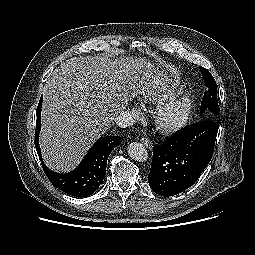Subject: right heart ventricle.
Returning <instances> with one entry per match:
<instances>
[{
	"mask_svg": "<svg viewBox=\"0 0 255 255\" xmlns=\"http://www.w3.org/2000/svg\"><path fill=\"white\" fill-rule=\"evenodd\" d=\"M169 93H162V94H154V93H145L141 98V102L143 104H159L164 101L168 97Z\"/></svg>",
	"mask_w": 255,
	"mask_h": 255,
	"instance_id": "obj_1",
	"label": "right heart ventricle"
}]
</instances>
